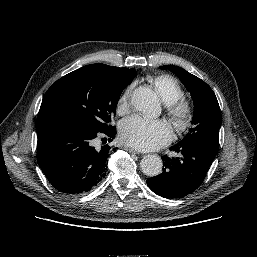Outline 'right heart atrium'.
Instances as JSON below:
<instances>
[{"instance_id": "right-heart-atrium-1", "label": "right heart atrium", "mask_w": 257, "mask_h": 257, "mask_svg": "<svg viewBox=\"0 0 257 257\" xmlns=\"http://www.w3.org/2000/svg\"><path fill=\"white\" fill-rule=\"evenodd\" d=\"M132 92V86H129L120 96L117 105V112L119 115H126L130 112L131 103L130 96Z\"/></svg>"}]
</instances>
